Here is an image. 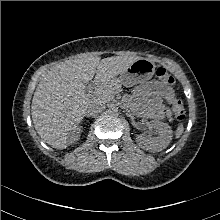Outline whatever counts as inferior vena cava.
<instances>
[{"instance_id": "obj_1", "label": "inferior vena cava", "mask_w": 220, "mask_h": 220, "mask_svg": "<svg viewBox=\"0 0 220 220\" xmlns=\"http://www.w3.org/2000/svg\"><path fill=\"white\" fill-rule=\"evenodd\" d=\"M105 106L102 103L96 102L95 104L91 105L90 108L87 110V115L95 116L100 113Z\"/></svg>"}]
</instances>
